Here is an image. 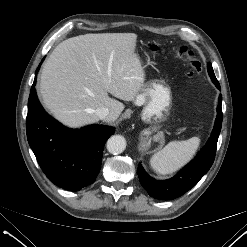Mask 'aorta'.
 Instances as JSON below:
<instances>
[{"instance_id": "1", "label": "aorta", "mask_w": 247, "mask_h": 247, "mask_svg": "<svg viewBox=\"0 0 247 247\" xmlns=\"http://www.w3.org/2000/svg\"><path fill=\"white\" fill-rule=\"evenodd\" d=\"M107 150L113 155L122 153L126 148V140L121 135H113L107 141Z\"/></svg>"}]
</instances>
